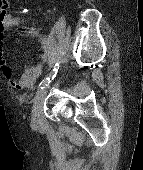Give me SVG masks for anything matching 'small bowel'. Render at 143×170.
Wrapping results in <instances>:
<instances>
[{
  "instance_id": "1",
  "label": "small bowel",
  "mask_w": 143,
  "mask_h": 170,
  "mask_svg": "<svg viewBox=\"0 0 143 170\" xmlns=\"http://www.w3.org/2000/svg\"><path fill=\"white\" fill-rule=\"evenodd\" d=\"M24 27L20 29L19 34L24 36H40L42 30L35 25V23L28 18L20 16H12L6 14L0 17V69L4 77L10 82L11 86L17 90H27L35 86L37 79L43 71L42 62L27 66L21 76L16 79L14 72L4 58L2 44L6 38V31L12 27Z\"/></svg>"
}]
</instances>
